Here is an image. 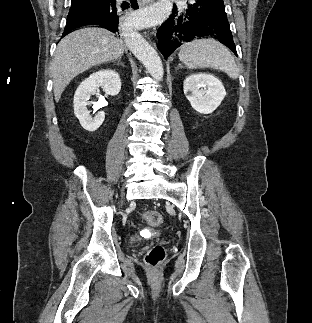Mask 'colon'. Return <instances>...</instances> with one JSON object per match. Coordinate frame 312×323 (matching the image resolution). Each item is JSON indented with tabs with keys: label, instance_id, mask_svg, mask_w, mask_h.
I'll use <instances>...</instances> for the list:
<instances>
[{
	"label": "colon",
	"instance_id": "1",
	"mask_svg": "<svg viewBox=\"0 0 312 323\" xmlns=\"http://www.w3.org/2000/svg\"><path fill=\"white\" fill-rule=\"evenodd\" d=\"M144 219L152 226H158L163 221V216L158 210H146L144 212ZM165 258V250L162 246L156 245L151 248L146 256L145 261L150 265L151 269H158L159 263Z\"/></svg>",
	"mask_w": 312,
	"mask_h": 323
}]
</instances>
